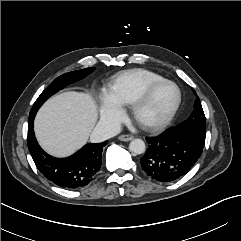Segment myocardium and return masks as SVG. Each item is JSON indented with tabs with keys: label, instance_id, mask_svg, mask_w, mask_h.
<instances>
[{
	"label": "myocardium",
	"instance_id": "f54148a6",
	"mask_svg": "<svg viewBox=\"0 0 241 241\" xmlns=\"http://www.w3.org/2000/svg\"><path fill=\"white\" fill-rule=\"evenodd\" d=\"M164 84H171L177 90V99L176 102L169 112V114L162 120L158 122H146L140 118V111L143 106L148 102L152 94L158 89L160 86ZM182 103V91L180 87L172 80L162 79L160 81L154 82L150 84L132 103L131 105V114L133 119L143 128L151 131H160L165 129L170 123L174 120L180 106Z\"/></svg>",
	"mask_w": 241,
	"mask_h": 241
}]
</instances>
